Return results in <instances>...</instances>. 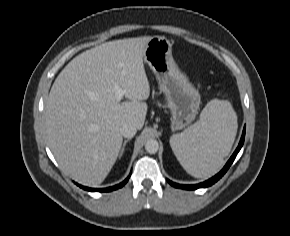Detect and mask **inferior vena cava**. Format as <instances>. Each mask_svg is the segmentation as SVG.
I'll return each mask as SVG.
<instances>
[{
  "mask_svg": "<svg viewBox=\"0 0 290 236\" xmlns=\"http://www.w3.org/2000/svg\"><path fill=\"white\" fill-rule=\"evenodd\" d=\"M120 132L122 134L123 137L125 138H132L136 132L137 129L134 125L132 124H124L121 128H120Z\"/></svg>",
  "mask_w": 290,
  "mask_h": 236,
  "instance_id": "602c4592",
  "label": "inferior vena cava"
}]
</instances>
